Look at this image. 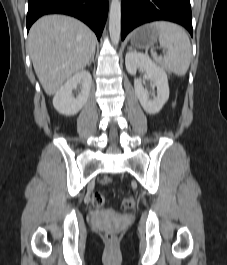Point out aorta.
I'll list each match as a JSON object with an SVG mask.
<instances>
[{"mask_svg":"<svg viewBox=\"0 0 227 265\" xmlns=\"http://www.w3.org/2000/svg\"><path fill=\"white\" fill-rule=\"evenodd\" d=\"M109 33L114 45H118L121 33V2L112 0L109 11Z\"/></svg>","mask_w":227,"mask_h":265,"instance_id":"obj_1","label":"aorta"}]
</instances>
